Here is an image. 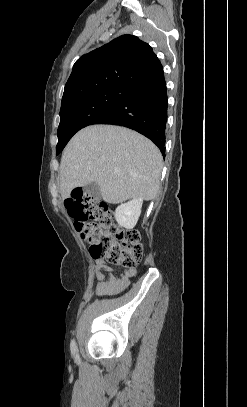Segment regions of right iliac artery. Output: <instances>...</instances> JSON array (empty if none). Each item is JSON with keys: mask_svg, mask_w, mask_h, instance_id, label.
<instances>
[{"mask_svg": "<svg viewBox=\"0 0 247 407\" xmlns=\"http://www.w3.org/2000/svg\"><path fill=\"white\" fill-rule=\"evenodd\" d=\"M70 349H71L72 354H76L78 352L75 340L71 341Z\"/></svg>", "mask_w": 247, "mask_h": 407, "instance_id": "82829eb1", "label": "right iliac artery"}]
</instances>
